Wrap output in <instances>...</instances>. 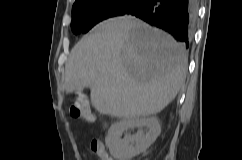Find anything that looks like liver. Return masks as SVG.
Listing matches in <instances>:
<instances>
[{
    "label": "liver",
    "instance_id": "obj_1",
    "mask_svg": "<svg viewBox=\"0 0 242 160\" xmlns=\"http://www.w3.org/2000/svg\"><path fill=\"white\" fill-rule=\"evenodd\" d=\"M186 50L169 34L122 16L96 25L72 49L66 93L91 89L103 115L136 119L162 111L185 80Z\"/></svg>",
    "mask_w": 242,
    "mask_h": 160
}]
</instances>
